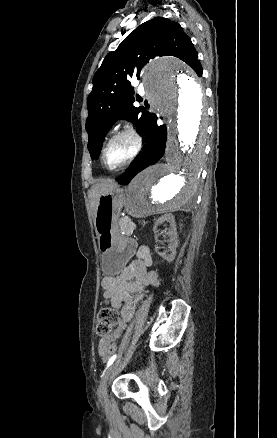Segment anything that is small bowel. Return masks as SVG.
<instances>
[{
  "instance_id": "small-bowel-1",
  "label": "small bowel",
  "mask_w": 277,
  "mask_h": 438,
  "mask_svg": "<svg viewBox=\"0 0 277 438\" xmlns=\"http://www.w3.org/2000/svg\"><path fill=\"white\" fill-rule=\"evenodd\" d=\"M135 255V259L120 274L105 276L101 281L105 302L114 309L120 310V319L116 328L109 336L103 338L98 346L99 355L104 360L116 350L113 342L125 331L127 323L133 317L137 302L145 294L146 287L156 286L159 282L157 274L148 270L152 264L148 248L138 247Z\"/></svg>"
}]
</instances>
